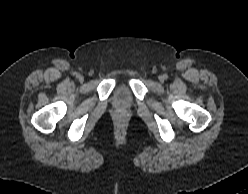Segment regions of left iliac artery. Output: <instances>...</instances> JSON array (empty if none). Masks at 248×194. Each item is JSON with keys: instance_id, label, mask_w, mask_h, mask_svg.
Listing matches in <instances>:
<instances>
[{"instance_id": "1", "label": "left iliac artery", "mask_w": 248, "mask_h": 194, "mask_svg": "<svg viewBox=\"0 0 248 194\" xmlns=\"http://www.w3.org/2000/svg\"><path fill=\"white\" fill-rule=\"evenodd\" d=\"M163 78H164V79H167V78H168V75H167V74H164V75H163Z\"/></svg>"}]
</instances>
